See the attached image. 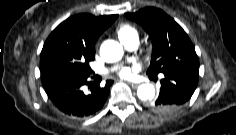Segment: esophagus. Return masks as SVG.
Wrapping results in <instances>:
<instances>
[{"mask_svg":"<svg viewBox=\"0 0 236 135\" xmlns=\"http://www.w3.org/2000/svg\"><path fill=\"white\" fill-rule=\"evenodd\" d=\"M127 83L131 85L132 87H137L139 85L138 83L131 82V81H127Z\"/></svg>","mask_w":236,"mask_h":135,"instance_id":"34e87169","label":"esophagus"}]
</instances>
